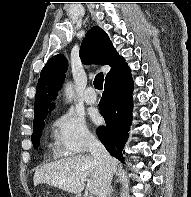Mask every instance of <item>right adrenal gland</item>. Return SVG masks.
I'll return each instance as SVG.
<instances>
[{"label": "right adrenal gland", "instance_id": "obj_1", "mask_svg": "<svg viewBox=\"0 0 191 197\" xmlns=\"http://www.w3.org/2000/svg\"><path fill=\"white\" fill-rule=\"evenodd\" d=\"M111 193H112V189H111V191H110L109 197H111Z\"/></svg>", "mask_w": 191, "mask_h": 197}]
</instances>
